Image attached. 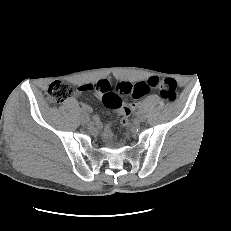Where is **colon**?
I'll list each match as a JSON object with an SVG mask.
<instances>
[{
    "instance_id": "obj_1",
    "label": "colon",
    "mask_w": 231,
    "mask_h": 231,
    "mask_svg": "<svg viewBox=\"0 0 231 231\" xmlns=\"http://www.w3.org/2000/svg\"><path fill=\"white\" fill-rule=\"evenodd\" d=\"M151 89L159 91L160 95L169 103L177 99V82L173 78L152 76L145 82H120L112 88L109 80L97 82L91 89L93 92L102 95L103 103L118 111V118L121 127L126 128L130 124L131 110L123 103L122 96L140 98ZM73 94L71 86L65 82L56 81L50 84L46 90V99L52 105L64 102Z\"/></svg>"
}]
</instances>
